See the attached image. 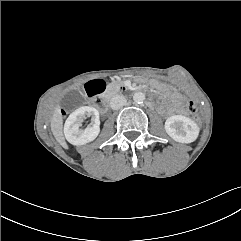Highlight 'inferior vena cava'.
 <instances>
[{"mask_svg":"<svg viewBox=\"0 0 241 241\" xmlns=\"http://www.w3.org/2000/svg\"><path fill=\"white\" fill-rule=\"evenodd\" d=\"M127 104V99L123 95H116L110 101V106L113 110L121 109Z\"/></svg>","mask_w":241,"mask_h":241,"instance_id":"602c4592","label":"inferior vena cava"}]
</instances>
